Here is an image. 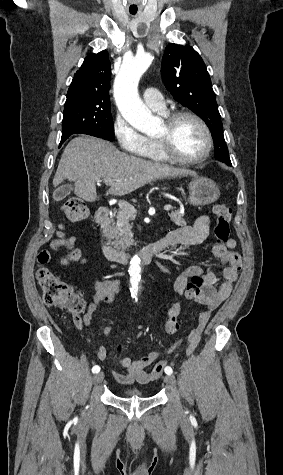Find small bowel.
Wrapping results in <instances>:
<instances>
[{"mask_svg": "<svg viewBox=\"0 0 283 475\" xmlns=\"http://www.w3.org/2000/svg\"><path fill=\"white\" fill-rule=\"evenodd\" d=\"M210 234V218L207 215L198 217L192 226L181 227L166 236V247L170 246H198L206 242ZM235 241L230 240L227 244H214L213 255L225 263L222 272L223 281L217 287V276L212 270H204L199 266L187 267L175 280L174 290L181 295L183 279H189L190 274H202L205 281V296H198V303L204 306L200 311L195 327L184 338L176 341L164 351H153L141 358L132 359L121 355L122 348L118 347L114 353V358L118 364L125 369V372L112 370L113 379L121 384L128 385L134 382L148 384L158 380L165 368L166 362H161V353L171 354L182 342L186 345V353L191 354L196 348L200 336L217 308L231 295L235 282L237 281L241 269V256L233 249ZM120 284L117 280L100 278L92 286L93 297L85 315L84 324L90 325L93 313L102 304L114 302L119 293ZM173 308L169 310L172 311ZM168 312V313H169ZM180 312V311H176ZM111 334L109 330L106 331ZM111 354L109 344L101 346L97 351V357L105 360ZM155 363L154 368L147 372L146 368Z\"/></svg>", "mask_w": 283, "mask_h": 475, "instance_id": "obj_1", "label": "small bowel"}]
</instances>
